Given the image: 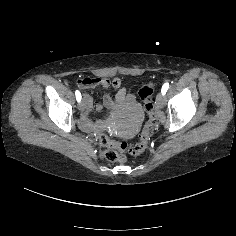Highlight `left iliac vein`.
I'll return each mask as SVG.
<instances>
[{"label":"left iliac vein","instance_id":"1","mask_svg":"<svg viewBox=\"0 0 236 236\" xmlns=\"http://www.w3.org/2000/svg\"><path fill=\"white\" fill-rule=\"evenodd\" d=\"M156 102L159 108H163L165 106V97L162 93H158L156 96Z\"/></svg>","mask_w":236,"mask_h":236}]
</instances>
